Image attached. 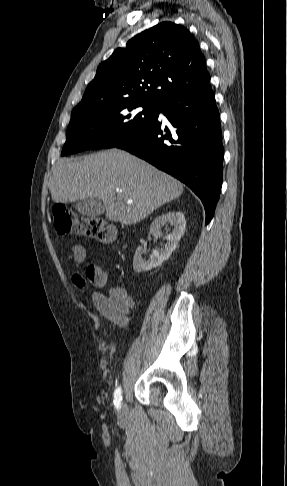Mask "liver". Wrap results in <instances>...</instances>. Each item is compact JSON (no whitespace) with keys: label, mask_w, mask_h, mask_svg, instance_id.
Wrapping results in <instances>:
<instances>
[{"label":"liver","mask_w":287,"mask_h":486,"mask_svg":"<svg viewBox=\"0 0 287 486\" xmlns=\"http://www.w3.org/2000/svg\"><path fill=\"white\" fill-rule=\"evenodd\" d=\"M50 191L55 203L99 198L108 220L131 225L179 198L183 186L128 152L110 149L79 159L58 160Z\"/></svg>","instance_id":"liver-1"}]
</instances>
